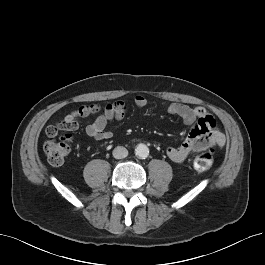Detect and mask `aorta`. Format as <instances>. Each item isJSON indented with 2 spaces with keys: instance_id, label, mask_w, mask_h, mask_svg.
<instances>
[{
  "instance_id": "1",
  "label": "aorta",
  "mask_w": 265,
  "mask_h": 265,
  "mask_svg": "<svg viewBox=\"0 0 265 265\" xmlns=\"http://www.w3.org/2000/svg\"><path fill=\"white\" fill-rule=\"evenodd\" d=\"M135 154L139 158L145 159L149 155V148L147 147V145L140 143L136 146Z\"/></svg>"
}]
</instances>
